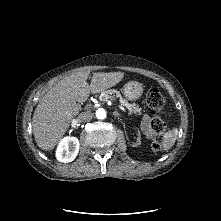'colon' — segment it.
<instances>
[{
	"instance_id": "obj_1",
	"label": "colon",
	"mask_w": 221,
	"mask_h": 221,
	"mask_svg": "<svg viewBox=\"0 0 221 221\" xmlns=\"http://www.w3.org/2000/svg\"><path fill=\"white\" fill-rule=\"evenodd\" d=\"M145 102L150 114L152 115V119L149 123L150 130L157 136L163 135L166 125L163 119L160 117L165 106V100L162 93L158 89H150L147 92ZM153 148L155 151H160L161 143L159 141H155L153 143Z\"/></svg>"
}]
</instances>
